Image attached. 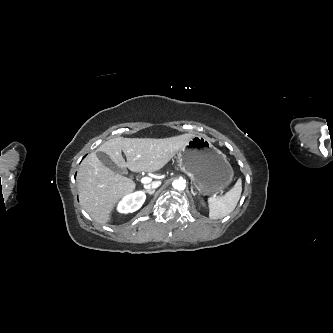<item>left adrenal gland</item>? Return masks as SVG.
Wrapping results in <instances>:
<instances>
[{
    "label": "left adrenal gland",
    "mask_w": 333,
    "mask_h": 333,
    "mask_svg": "<svg viewBox=\"0 0 333 333\" xmlns=\"http://www.w3.org/2000/svg\"><path fill=\"white\" fill-rule=\"evenodd\" d=\"M191 193H192L193 195H196V193L193 191V187H191Z\"/></svg>",
    "instance_id": "left-adrenal-gland-1"
}]
</instances>
